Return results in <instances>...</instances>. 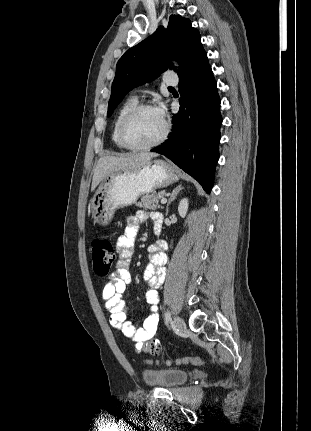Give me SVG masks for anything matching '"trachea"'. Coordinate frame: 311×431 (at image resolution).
<instances>
[{
  "label": "trachea",
  "instance_id": "1",
  "mask_svg": "<svg viewBox=\"0 0 311 431\" xmlns=\"http://www.w3.org/2000/svg\"><path fill=\"white\" fill-rule=\"evenodd\" d=\"M168 89H173V87H168Z\"/></svg>",
  "mask_w": 311,
  "mask_h": 431
}]
</instances>
